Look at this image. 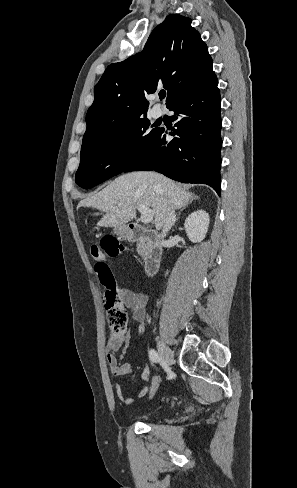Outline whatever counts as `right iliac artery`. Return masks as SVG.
Returning <instances> with one entry per match:
<instances>
[{
	"instance_id": "right-iliac-artery-1",
	"label": "right iliac artery",
	"mask_w": 297,
	"mask_h": 488,
	"mask_svg": "<svg viewBox=\"0 0 297 488\" xmlns=\"http://www.w3.org/2000/svg\"><path fill=\"white\" fill-rule=\"evenodd\" d=\"M149 358L150 360L153 362V363H157L160 361V356L158 355V353L154 350V349H151L149 351Z\"/></svg>"
}]
</instances>
